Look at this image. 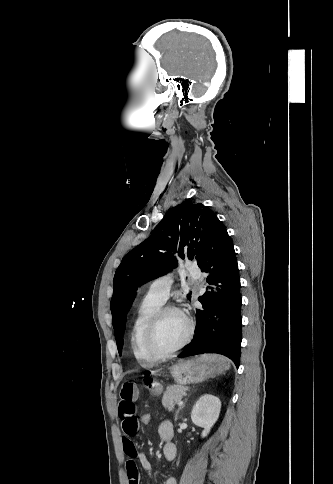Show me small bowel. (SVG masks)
<instances>
[{"label": "small bowel", "mask_w": 333, "mask_h": 484, "mask_svg": "<svg viewBox=\"0 0 333 484\" xmlns=\"http://www.w3.org/2000/svg\"><path fill=\"white\" fill-rule=\"evenodd\" d=\"M139 389L133 382H125L119 393L118 416L123 430V449L128 459L126 461V474L128 484H139V472L136 461L151 475V464L148 458L139 453L134 443V437L140 432V423L137 416L136 401L138 400ZM158 433L160 438L165 442L163 453L168 461H172L176 456V448L172 443L173 425L170 421H164L159 425ZM164 484H177L173 477H169Z\"/></svg>", "instance_id": "1"}]
</instances>
